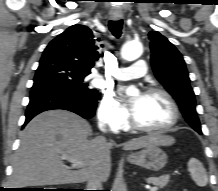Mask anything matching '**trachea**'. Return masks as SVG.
I'll list each match as a JSON object with an SVG mask.
<instances>
[{"instance_id": "1", "label": "trachea", "mask_w": 218, "mask_h": 191, "mask_svg": "<svg viewBox=\"0 0 218 191\" xmlns=\"http://www.w3.org/2000/svg\"><path fill=\"white\" fill-rule=\"evenodd\" d=\"M109 29L116 38H119L122 33V20L109 21Z\"/></svg>"}]
</instances>
